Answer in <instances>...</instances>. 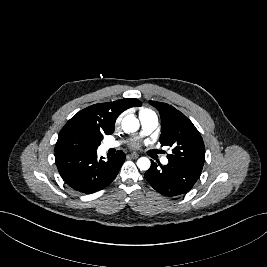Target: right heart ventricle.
I'll return each mask as SVG.
<instances>
[{
  "mask_svg": "<svg viewBox=\"0 0 267 267\" xmlns=\"http://www.w3.org/2000/svg\"><path fill=\"white\" fill-rule=\"evenodd\" d=\"M148 113H152V111L149 109H141V111H140V115H144V114H148Z\"/></svg>",
  "mask_w": 267,
  "mask_h": 267,
  "instance_id": "1",
  "label": "right heart ventricle"
}]
</instances>
